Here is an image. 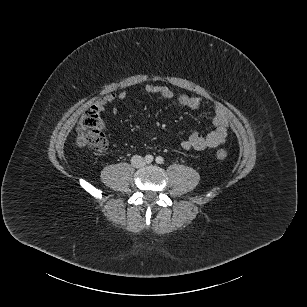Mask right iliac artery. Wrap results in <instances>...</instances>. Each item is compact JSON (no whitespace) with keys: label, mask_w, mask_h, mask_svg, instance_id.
Segmentation results:
<instances>
[{"label":"right iliac artery","mask_w":307,"mask_h":307,"mask_svg":"<svg viewBox=\"0 0 307 307\" xmlns=\"http://www.w3.org/2000/svg\"><path fill=\"white\" fill-rule=\"evenodd\" d=\"M153 156L152 155H146L145 156V161L147 162V163H151L152 161H153Z\"/></svg>","instance_id":"82829eb1"}]
</instances>
